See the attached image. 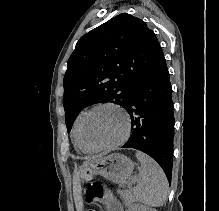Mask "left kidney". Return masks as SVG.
<instances>
[{"mask_svg": "<svg viewBox=\"0 0 219 211\" xmlns=\"http://www.w3.org/2000/svg\"><path fill=\"white\" fill-rule=\"evenodd\" d=\"M131 211H156V209L142 205V203H133Z\"/></svg>", "mask_w": 219, "mask_h": 211, "instance_id": "left-kidney-1", "label": "left kidney"}]
</instances>
